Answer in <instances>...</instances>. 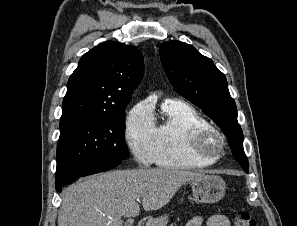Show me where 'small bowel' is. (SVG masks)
Segmentation results:
<instances>
[{"label": "small bowel", "mask_w": 297, "mask_h": 226, "mask_svg": "<svg viewBox=\"0 0 297 226\" xmlns=\"http://www.w3.org/2000/svg\"><path fill=\"white\" fill-rule=\"evenodd\" d=\"M230 226V220L227 216L216 214L205 219L201 215L191 218L185 226Z\"/></svg>", "instance_id": "small-bowel-1"}]
</instances>
